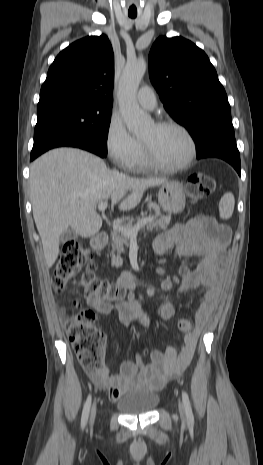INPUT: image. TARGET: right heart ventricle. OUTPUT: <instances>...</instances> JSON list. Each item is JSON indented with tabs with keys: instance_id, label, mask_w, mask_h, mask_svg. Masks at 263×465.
<instances>
[{
	"instance_id": "obj_1",
	"label": "right heart ventricle",
	"mask_w": 263,
	"mask_h": 465,
	"mask_svg": "<svg viewBox=\"0 0 263 465\" xmlns=\"http://www.w3.org/2000/svg\"><path fill=\"white\" fill-rule=\"evenodd\" d=\"M131 168L137 171H144L150 168L149 164L147 163L145 159L141 143H140L139 154L137 158L135 159V161L133 162Z\"/></svg>"
}]
</instances>
